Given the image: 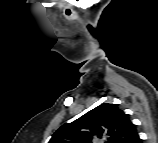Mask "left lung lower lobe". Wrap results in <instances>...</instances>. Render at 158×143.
<instances>
[{
	"mask_svg": "<svg viewBox=\"0 0 158 143\" xmlns=\"http://www.w3.org/2000/svg\"><path fill=\"white\" fill-rule=\"evenodd\" d=\"M139 142H140V139L138 138L137 141H136V143H139Z\"/></svg>",
	"mask_w": 158,
	"mask_h": 143,
	"instance_id": "obj_1",
	"label": "left lung lower lobe"
}]
</instances>
